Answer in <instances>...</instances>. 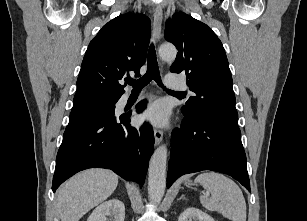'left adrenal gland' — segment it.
<instances>
[{"instance_id":"left-adrenal-gland-1","label":"left adrenal gland","mask_w":307,"mask_h":221,"mask_svg":"<svg viewBox=\"0 0 307 221\" xmlns=\"http://www.w3.org/2000/svg\"><path fill=\"white\" fill-rule=\"evenodd\" d=\"M185 199H186L185 196L182 195L178 200H185Z\"/></svg>"}]
</instances>
